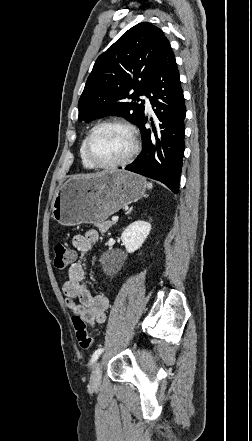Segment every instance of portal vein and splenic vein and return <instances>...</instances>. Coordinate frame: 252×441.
Returning <instances> with one entry per match:
<instances>
[{"label": "portal vein and splenic vein", "mask_w": 252, "mask_h": 441, "mask_svg": "<svg viewBox=\"0 0 252 441\" xmlns=\"http://www.w3.org/2000/svg\"><path fill=\"white\" fill-rule=\"evenodd\" d=\"M118 218H119L118 216H113V217H112V221H113V222H116V221H118Z\"/></svg>", "instance_id": "portal-vein-and-splenic-vein-1"}]
</instances>
